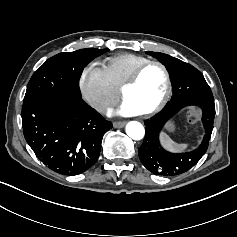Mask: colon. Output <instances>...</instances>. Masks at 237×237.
Wrapping results in <instances>:
<instances>
[{
  "label": "colon",
  "mask_w": 237,
  "mask_h": 237,
  "mask_svg": "<svg viewBox=\"0 0 237 237\" xmlns=\"http://www.w3.org/2000/svg\"><path fill=\"white\" fill-rule=\"evenodd\" d=\"M187 117L191 123H196L202 118V111L199 107L191 106L187 110Z\"/></svg>",
  "instance_id": "obj_1"
}]
</instances>
